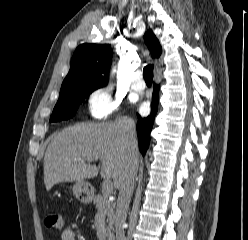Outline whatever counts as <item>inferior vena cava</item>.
Returning a JSON list of instances; mask_svg holds the SVG:
<instances>
[{"instance_id": "602c4592", "label": "inferior vena cava", "mask_w": 248, "mask_h": 240, "mask_svg": "<svg viewBox=\"0 0 248 240\" xmlns=\"http://www.w3.org/2000/svg\"><path fill=\"white\" fill-rule=\"evenodd\" d=\"M125 141L128 146V158L123 174L118 182V200L115 216L116 240H126L124 224L134 190L135 177L138 170V163L134 152L137 150L136 131L134 122H129L125 127Z\"/></svg>"}]
</instances>
